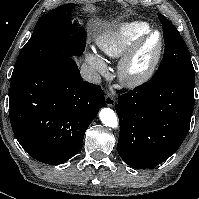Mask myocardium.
Wrapping results in <instances>:
<instances>
[{
    "label": "myocardium",
    "instance_id": "1",
    "mask_svg": "<svg viewBox=\"0 0 199 199\" xmlns=\"http://www.w3.org/2000/svg\"><path fill=\"white\" fill-rule=\"evenodd\" d=\"M153 34H158L159 36L157 50L152 59L150 60L149 64L145 68L137 70L134 68V62L140 51V48ZM163 50L164 38L162 33L156 29L149 30L147 33H145L139 39H137L122 57L118 66V73L120 79L126 85L131 87L141 85L150 80L160 63Z\"/></svg>",
    "mask_w": 199,
    "mask_h": 199
}]
</instances>
